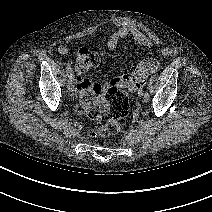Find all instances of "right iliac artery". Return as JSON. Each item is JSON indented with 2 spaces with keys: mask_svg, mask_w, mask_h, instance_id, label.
Masks as SVG:
<instances>
[{
  "mask_svg": "<svg viewBox=\"0 0 212 212\" xmlns=\"http://www.w3.org/2000/svg\"><path fill=\"white\" fill-rule=\"evenodd\" d=\"M66 70H67V73H68V77H69V78H73L72 69H71L69 66H67V67H66Z\"/></svg>",
  "mask_w": 212,
  "mask_h": 212,
  "instance_id": "1",
  "label": "right iliac artery"
}]
</instances>
